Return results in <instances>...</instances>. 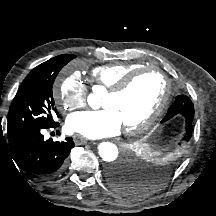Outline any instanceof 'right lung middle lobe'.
Here are the masks:
<instances>
[{
    "mask_svg": "<svg viewBox=\"0 0 216 216\" xmlns=\"http://www.w3.org/2000/svg\"><path fill=\"white\" fill-rule=\"evenodd\" d=\"M74 55L54 57L35 73H29L20 85L7 118V133L29 128H46L56 122L52 88L59 71Z\"/></svg>",
    "mask_w": 216,
    "mask_h": 216,
    "instance_id": "right-lung-middle-lobe-1",
    "label": "right lung middle lobe"
}]
</instances>
